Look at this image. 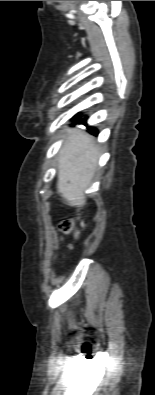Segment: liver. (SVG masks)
I'll use <instances>...</instances> for the list:
<instances>
[{"instance_id": "1", "label": "liver", "mask_w": 155, "mask_h": 395, "mask_svg": "<svg viewBox=\"0 0 155 395\" xmlns=\"http://www.w3.org/2000/svg\"><path fill=\"white\" fill-rule=\"evenodd\" d=\"M66 133L71 135L59 151L57 191L70 206L81 207L97 170L100 147L86 132L67 129Z\"/></svg>"}]
</instances>
